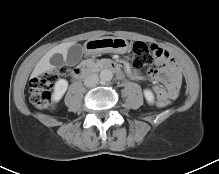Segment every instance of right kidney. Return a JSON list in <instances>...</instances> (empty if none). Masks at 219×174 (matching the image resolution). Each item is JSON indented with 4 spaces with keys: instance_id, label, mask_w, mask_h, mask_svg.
<instances>
[{
    "instance_id": "1",
    "label": "right kidney",
    "mask_w": 219,
    "mask_h": 174,
    "mask_svg": "<svg viewBox=\"0 0 219 174\" xmlns=\"http://www.w3.org/2000/svg\"><path fill=\"white\" fill-rule=\"evenodd\" d=\"M68 88V81L65 79H59L56 81L53 92V100L59 101L65 94Z\"/></svg>"
}]
</instances>
